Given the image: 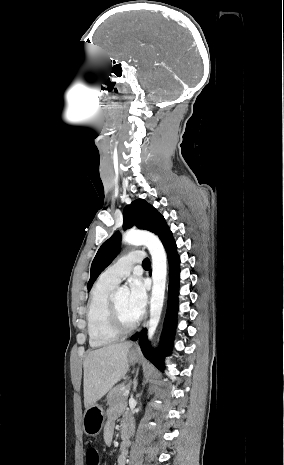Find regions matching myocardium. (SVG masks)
<instances>
[{
    "instance_id": "1",
    "label": "myocardium",
    "mask_w": 284,
    "mask_h": 465,
    "mask_svg": "<svg viewBox=\"0 0 284 465\" xmlns=\"http://www.w3.org/2000/svg\"><path fill=\"white\" fill-rule=\"evenodd\" d=\"M123 321L117 304L114 298H110L109 301V321H107V326L109 330L117 337H126L132 334L140 324L141 317H139L136 322L129 326L124 327L121 323Z\"/></svg>"
}]
</instances>
